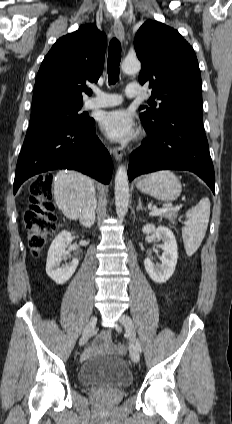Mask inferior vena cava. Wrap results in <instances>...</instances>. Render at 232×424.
<instances>
[{
  "label": "inferior vena cava",
  "mask_w": 232,
  "mask_h": 424,
  "mask_svg": "<svg viewBox=\"0 0 232 424\" xmlns=\"http://www.w3.org/2000/svg\"><path fill=\"white\" fill-rule=\"evenodd\" d=\"M97 201L95 198L94 189H91L87 195V201L80 211V222L85 227H91L95 222V209Z\"/></svg>",
  "instance_id": "1"
}]
</instances>
